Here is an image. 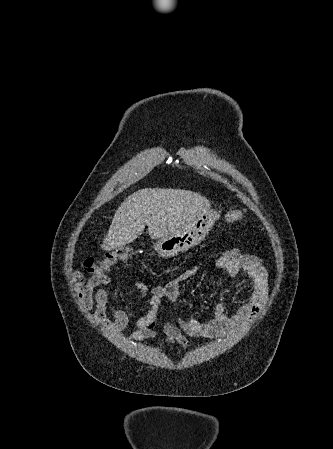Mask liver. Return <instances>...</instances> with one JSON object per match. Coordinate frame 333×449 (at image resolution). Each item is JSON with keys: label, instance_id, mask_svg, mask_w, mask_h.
I'll list each match as a JSON object with an SVG mask.
<instances>
[{"label": "liver", "instance_id": "obj_1", "mask_svg": "<svg viewBox=\"0 0 333 449\" xmlns=\"http://www.w3.org/2000/svg\"><path fill=\"white\" fill-rule=\"evenodd\" d=\"M210 207L204 196L181 189L145 188L134 192L116 210L101 248L117 250L148 227L152 239L176 232Z\"/></svg>", "mask_w": 333, "mask_h": 449}]
</instances>
